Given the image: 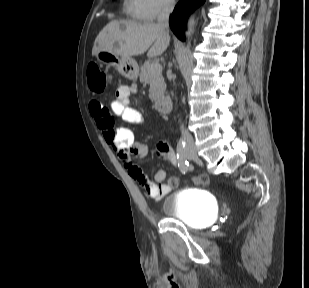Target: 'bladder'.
Segmentation results:
<instances>
[{"instance_id":"bladder-1","label":"bladder","mask_w":309,"mask_h":288,"mask_svg":"<svg viewBox=\"0 0 309 288\" xmlns=\"http://www.w3.org/2000/svg\"><path fill=\"white\" fill-rule=\"evenodd\" d=\"M162 212L165 218H176L192 228L210 225L216 215L213 197L199 188H182L164 196Z\"/></svg>"}]
</instances>
